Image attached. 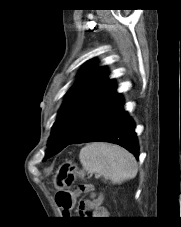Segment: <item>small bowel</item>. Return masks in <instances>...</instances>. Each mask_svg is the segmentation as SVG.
Returning a JSON list of instances; mask_svg holds the SVG:
<instances>
[{
    "label": "small bowel",
    "instance_id": "small-bowel-1",
    "mask_svg": "<svg viewBox=\"0 0 181 227\" xmlns=\"http://www.w3.org/2000/svg\"><path fill=\"white\" fill-rule=\"evenodd\" d=\"M102 203L103 195L99 194L97 196H93L90 200L81 203L79 213L85 214L87 212H90L97 218L105 217L108 215V212L102 206Z\"/></svg>",
    "mask_w": 181,
    "mask_h": 227
}]
</instances>
